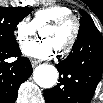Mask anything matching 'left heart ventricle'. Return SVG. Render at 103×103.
<instances>
[{
	"mask_svg": "<svg viewBox=\"0 0 103 103\" xmlns=\"http://www.w3.org/2000/svg\"><path fill=\"white\" fill-rule=\"evenodd\" d=\"M72 30V24H67L59 28L47 27L41 30L40 36L42 38L51 39L58 50L68 42L71 37Z\"/></svg>",
	"mask_w": 103,
	"mask_h": 103,
	"instance_id": "obj_1",
	"label": "left heart ventricle"
}]
</instances>
